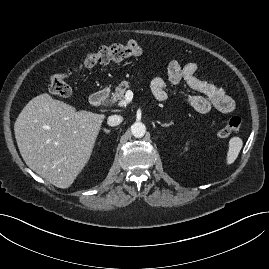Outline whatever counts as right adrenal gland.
Listing matches in <instances>:
<instances>
[{
    "instance_id": "obj_1",
    "label": "right adrenal gland",
    "mask_w": 269,
    "mask_h": 269,
    "mask_svg": "<svg viewBox=\"0 0 269 269\" xmlns=\"http://www.w3.org/2000/svg\"><path fill=\"white\" fill-rule=\"evenodd\" d=\"M104 131H105L106 133H108V134L111 132V131L108 130V129H105Z\"/></svg>"
}]
</instances>
